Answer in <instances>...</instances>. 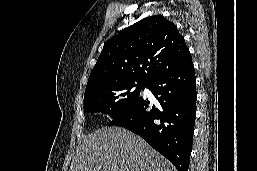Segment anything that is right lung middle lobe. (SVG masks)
Returning <instances> with one entry per match:
<instances>
[{"label": "right lung middle lobe", "instance_id": "obj_1", "mask_svg": "<svg viewBox=\"0 0 257 171\" xmlns=\"http://www.w3.org/2000/svg\"><path fill=\"white\" fill-rule=\"evenodd\" d=\"M148 83L125 82L85 92L84 112H102L111 118L126 111L140 98Z\"/></svg>", "mask_w": 257, "mask_h": 171}]
</instances>
